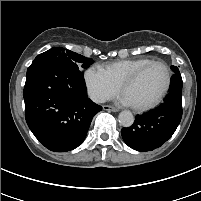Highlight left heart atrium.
<instances>
[{
	"instance_id": "39dd6f15",
	"label": "left heart atrium",
	"mask_w": 201,
	"mask_h": 201,
	"mask_svg": "<svg viewBox=\"0 0 201 201\" xmlns=\"http://www.w3.org/2000/svg\"><path fill=\"white\" fill-rule=\"evenodd\" d=\"M120 101H121L123 104H125V105H132L131 102H130V100H129L125 95H123V96L121 97Z\"/></svg>"
}]
</instances>
